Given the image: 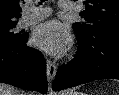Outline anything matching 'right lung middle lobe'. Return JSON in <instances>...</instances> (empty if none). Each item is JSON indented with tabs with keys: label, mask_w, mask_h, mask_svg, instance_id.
Masks as SVG:
<instances>
[{
	"label": "right lung middle lobe",
	"mask_w": 119,
	"mask_h": 95,
	"mask_svg": "<svg viewBox=\"0 0 119 95\" xmlns=\"http://www.w3.org/2000/svg\"><path fill=\"white\" fill-rule=\"evenodd\" d=\"M15 26H16V24L0 26V40L17 39L18 37H20L21 34H14L12 32V30Z\"/></svg>",
	"instance_id": "1"
}]
</instances>
